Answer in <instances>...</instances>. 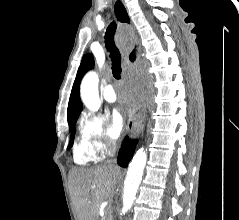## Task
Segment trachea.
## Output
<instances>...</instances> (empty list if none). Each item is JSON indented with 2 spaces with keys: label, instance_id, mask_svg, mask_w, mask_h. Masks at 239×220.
<instances>
[{
  "label": "trachea",
  "instance_id": "trachea-1",
  "mask_svg": "<svg viewBox=\"0 0 239 220\" xmlns=\"http://www.w3.org/2000/svg\"><path fill=\"white\" fill-rule=\"evenodd\" d=\"M116 31V23L112 22L105 33V44L107 51L110 52V58L112 61V73L116 79L121 78V55L114 43V34Z\"/></svg>",
  "mask_w": 239,
  "mask_h": 220
}]
</instances>
